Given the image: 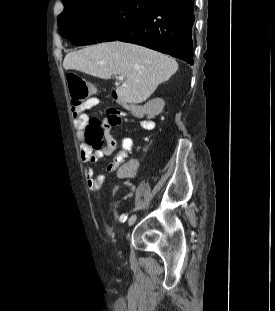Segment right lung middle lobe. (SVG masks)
Returning <instances> with one entry per match:
<instances>
[{
    "mask_svg": "<svg viewBox=\"0 0 275 311\" xmlns=\"http://www.w3.org/2000/svg\"><path fill=\"white\" fill-rule=\"evenodd\" d=\"M160 0H76L64 4L58 27L74 45L113 41Z\"/></svg>",
    "mask_w": 275,
    "mask_h": 311,
    "instance_id": "right-lung-middle-lobe-1",
    "label": "right lung middle lobe"
}]
</instances>
